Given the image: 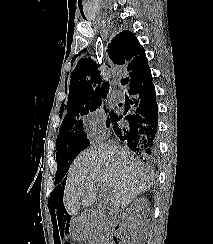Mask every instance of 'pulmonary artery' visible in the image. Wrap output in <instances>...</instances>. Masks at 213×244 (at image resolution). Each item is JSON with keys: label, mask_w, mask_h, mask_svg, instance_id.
I'll return each instance as SVG.
<instances>
[{"label": "pulmonary artery", "mask_w": 213, "mask_h": 244, "mask_svg": "<svg viewBox=\"0 0 213 244\" xmlns=\"http://www.w3.org/2000/svg\"><path fill=\"white\" fill-rule=\"evenodd\" d=\"M113 95L115 96L116 100H122L123 99V93L120 90H114Z\"/></svg>", "instance_id": "pulmonary-artery-1"}]
</instances>
